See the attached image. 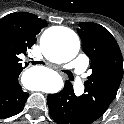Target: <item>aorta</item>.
I'll return each mask as SVG.
<instances>
[{
  "mask_svg": "<svg viewBox=\"0 0 124 124\" xmlns=\"http://www.w3.org/2000/svg\"><path fill=\"white\" fill-rule=\"evenodd\" d=\"M41 48L47 58L59 63L72 60L78 53L80 41L77 34L68 28H61L56 37L45 34L41 39ZM27 88L31 90H42V85L34 75L25 81Z\"/></svg>",
  "mask_w": 124,
  "mask_h": 124,
  "instance_id": "1",
  "label": "aorta"
}]
</instances>
